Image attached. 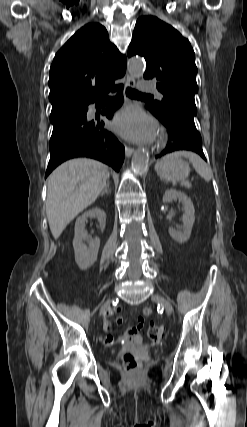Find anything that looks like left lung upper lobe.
<instances>
[{"mask_svg": "<svg viewBox=\"0 0 247 427\" xmlns=\"http://www.w3.org/2000/svg\"><path fill=\"white\" fill-rule=\"evenodd\" d=\"M127 55L143 56L147 63L144 78L157 81L163 99L146 104L156 117L162 118L172 112L196 115L195 54L189 41L176 29L157 17H140Z\"/></svg>", "mask_w": 247, "mask_h": 427, "instance_id": "5c2ea615", "label": "left lung upper lobe"}]
</instances>
